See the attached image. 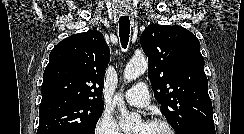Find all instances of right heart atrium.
I'll list each match as a JSON object with an SVG mask.
<instances>
[{
	"label": "right heart atrium",
	"instance_id": "d8ad5b80",
	"mask_svg": "<svg viewBox=\"0 0 244 134\" xmlns=\"http://www.w3.org/2000/svg\"><path fill=\"white\" fill-rule=\"evenodd\" d=\"M94 134H123L115 119L109 113H102L97 120Z\"/></svg>",
	"mask_w": 244,
	"mask_h": 134
}]
</instances>
